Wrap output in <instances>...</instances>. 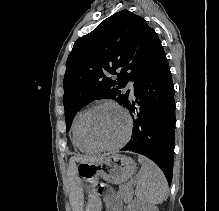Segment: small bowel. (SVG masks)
I'll use <instances>...</instances> for the list:
<instances>
[{"label":"small bowel","mask_w":219,"mask_h":211,"mask_svg":"<svg viewBox=\"0 0 219 211\" xmlns=\"http://www.w3.org/2000/svg\"><path fill=\"white\" fill-rule=\"evenodd\" d=\"M103 199L107 211H121V201L113 190L106 189L104 191Z\"/></svg>","instance_id":"c3829d8e"}]
</instances>
